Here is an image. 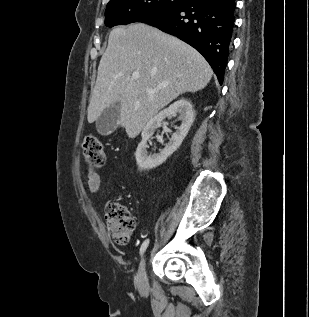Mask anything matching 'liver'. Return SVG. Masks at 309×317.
<instances>
[{
	"label": "liver",
	"instance_id": "obj_1",
	"mask_svg": "<svg viewBox=\"0 0 309 317\" xmlns=\"http://www.w3.org/2000/svg\"><path fill=\"white\" fill-rule=\"evenodd\" d=\"M211 77L204 57L176 37L144 23L116 27L98 66L88 122L119 102V124L135 138L162 108L183 93L205 88Z\"/></svg>",
	"mask_w": 309,
	"mask_h": 317
}]
</instances>
